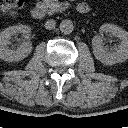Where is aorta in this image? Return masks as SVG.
Segmentation results:
<instances>
[{"instance_id": "762f6f07", "label": "aorta", "mask_w": 128, "mask_h": 128, "mask_svg": "<svg viewBox=\"0 0 128 128\" xmlns=\"http://www.w3.org/2000/svg\"><path fill=\"white\" fill-rule=\"evenodd\" d=\"M73 30H74V25H73V22L71 20H63L60 23V31L63 34H70L73 32Z\"/></svg>"}]
</instances>
